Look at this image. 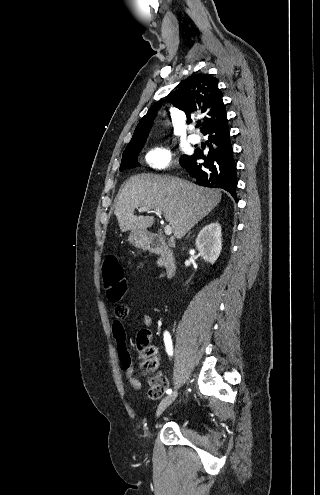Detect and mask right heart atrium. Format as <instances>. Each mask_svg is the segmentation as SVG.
Returning a JSON list of instances; mask_svg holds the SVG:
<instances>
[{
  "label": "right heart atrium",
  "mask_w": 320,
  "mask_h": 495,
  "mask_svg": "<svg viewBox=\"0 0 320 495\" xmlns=\"http://www.w3.org/2000/svg\"><path fill=\"white\" fill-rule=\"evenodd\" d=\"M172 160L171 151L164 146H156L150 149L145 155L146 163L152 168L164 169L168 167Z\"/></svg>",
  "instance_id": "obj_1"
}]
</instances>
